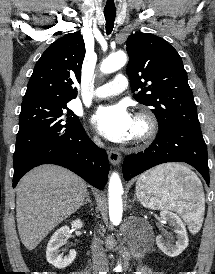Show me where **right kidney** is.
<instances>
[{
  "mask_svg": "<svg viewBox=\"0 0 215 274\" xmlns=\"http://www.w3.org/2000/svg\"><path fill=\"white\" fill-rule=\"evenodd\" d=\"M71 225L74 228H82L83 222L80 219H77L73 221ZM69 232L70 229L68 226L61 227L52 235L47 245V261L57 269L66 268L74 261L76 257L75 249L70 250L69 253L65 256H63V254H60L59 248L64 244Z\"/></svg>",
  "mask_w": 215,
  "mask_h": 274,
  "instance_id": "1",
  "label": "right kidney"
}]
</instances>
